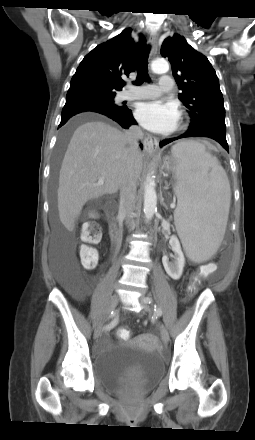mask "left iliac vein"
<instances>
[{
    "instance_id": "obj_1",
    "label": "left iliac vein",
    "mask_w": 255,
    "mask_h": 440,
    "mask_svg": "<svg viewBox=\"0 0 255 440\" xmlns=\"http://www.w3.org/2000/svg\"><path fill=\"white\" fill-rule=\"evenodd\" d=\"M144 299H145L144 296L140 297V303L142 304V306L144 307V309L146 311L150 312L151 309H150L148 303H146L144 301ZM159 330H160V335H161V339H162L163 343L167 344L169 341V333L167 331V328L161 323V324H159Z\"/></svg>"
}]
</instances>
